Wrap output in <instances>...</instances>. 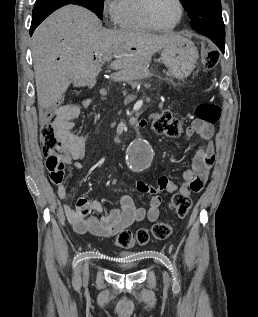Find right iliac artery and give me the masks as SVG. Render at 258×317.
Instances as JSON below:
<instances>
[{"label":"right iliac artery","mask_w":258,"mask_h":317,"mask_svg":"<svg viewBox=\"0 0 258 317\" xmlns=\"http://www.w3.org/2000/svg\"><path fill=\"white\" fill-rule=\"evenodd\" d=\"M73 287L76 291H80V288H81V281L77 278H75L73 280Z\"/></svg>","instance_id":"obj_1"}]
</instances>
